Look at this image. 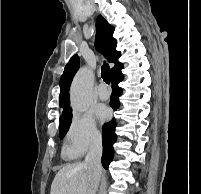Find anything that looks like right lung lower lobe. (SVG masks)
<instances>
[{"instance_id":"obj_1","label":"right lung lower lobe","mask_w":201,"mask_h":194,"mask_svg":"<svg viewBox=\"0 0 201 194\" xmlns=\"http://www.w3.org/2000/svg\"><path fill=\"white\" fill-rule=\"evenodd\" d=\"M122 80L123 74L121 73V70L112 75V94L110 106L114 110L119 108L118 97L121 95L122 89L118 86V83ZM115 127V119H112L110 122L104 124L103 126V155L101 162L105 169H108V166L114 155L113 144L116 141Z\"/></svg>"}]
</instances>
